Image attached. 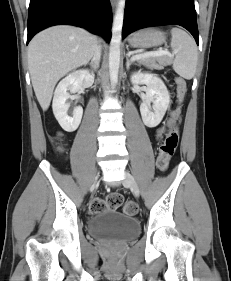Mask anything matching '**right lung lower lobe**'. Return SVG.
Returning a JSON list of instances; mask_svg holds the SVG:
<instances>
[{
    "mask_svg": "<svg viewBox=\"0 0 231 281\" xmlns=\"http://www.w3.org/2000/svg\"><path fill=\"white\" fill-rule=\"evenodd\" d=\"M112 10L109 0H30L27 44L39 31L68 24L111 39Z\"/></svg>",
    "mask_w": 231,
    "mask_h": 281,
    "instance_id": "98d812e1",
    "label": "right lung lower lobe"
}]
</instances>
